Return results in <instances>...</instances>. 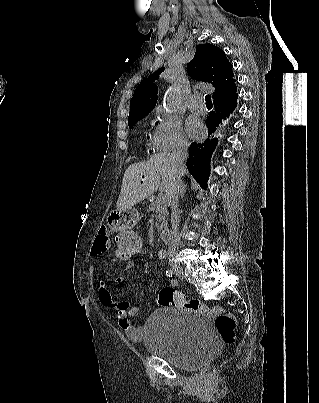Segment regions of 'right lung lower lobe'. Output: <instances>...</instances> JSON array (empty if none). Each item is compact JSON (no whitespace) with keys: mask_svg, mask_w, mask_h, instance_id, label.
I'll return each mask as SVG.
<instances>
[{"mask_svg":"<svg viewBox=\"0 0 319 403\" xmlns=\"http://www.w3.org/2000/svg\"><path fill=\"white\" fill-rule=\"evenodd\" d=\"M238 94H232L214 101V111L206 119L208 134H212L223 118H226L237 105ZM217 138L206 139L204 143L193 142L189 147V159L186 163L190 174L202 188L206 189L210 173V158L217 144Z\"/></svg>","mask_w":319,"mask_h":403,"instance_id":"right-lung-lower-lobe-1","label":"right lung lower lobe"}]
</instances>
